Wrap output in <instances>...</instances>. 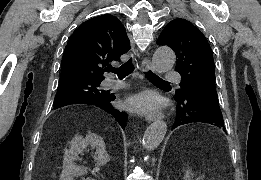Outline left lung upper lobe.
Returning a JSON list of instances; mask_svg holds the SVG:
<instances>
[{
  "label": "left lung upper lobe",
  "mask_w": 261,
  "mask_h": 180,
  "mask_svg": "<svg viewBox=\"0 0 261 180\" xmlns=\"http://www.w3.org/2000/svg\"><path fill=\"white\" fill-rule=\"evenodd\" d=\"M158 45L173 48L175 70L181 75L180 95L185 85L197 88L206 96L217 97L212 50L205 36L189 21L177 18L169 22L157 40Z\"/></svg>",
  "instance_id": "left-lung-upper-lobe-1"
}]
</instances>
